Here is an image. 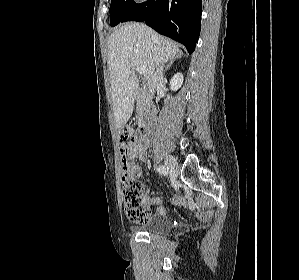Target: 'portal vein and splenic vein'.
Returning a JSON list of instances; mask_svg holds the SVG:
<instances>
[{"label": "portal vein and splenic vein", "instance_id": "1", "mask_svg": "<svg viewBox=\"0 0 299 280\" xmlns=\"http://www.w3.org/2000/svg\"><path fill=\"white\" fill-rule=\"evenodd\" d=\"M136 71L141 75H146L147 68L145 66H136Z\"/></svg>", "mask_w": 299, "mask_h": 280}]
</instances>
